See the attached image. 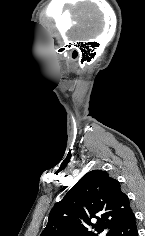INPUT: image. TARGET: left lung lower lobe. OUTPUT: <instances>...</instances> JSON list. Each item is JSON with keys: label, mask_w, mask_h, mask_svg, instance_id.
Returning <instances> with one entry per match:
<instances>
[{"label": "left lung lower lobe", "mask_w": 145, "mask_h": 236, "mask_svg": "<svg viewBox=\"0 0 145 236\" xmlns=\"http://www.w3.org/2000/svg\"><path fill=\"white\" fill-rule=\"evenodd\" d=\"M110 236H138L134 213L131 212L121 223H119Z\"/></svg>", "instance_id": "1"}]
</instances>
